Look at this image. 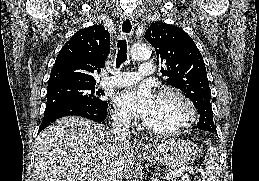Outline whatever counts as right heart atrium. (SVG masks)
<instances>
[{"label": "right heart atrium", "mask_w": 259, "mask_h": 181, "mask_svg": "<svg viewBox=\"0 0 259 181\" xmlns=\"http://www.w3.org/2000/svg\"><path fill=\"white\" fill-rule=\"evenodd\" d=\"M113 118L115 122L121 126H128L130 124V118L123 112L115 111Z\"/></svg>", "instance_id": "obj_1"}]
</instances>
